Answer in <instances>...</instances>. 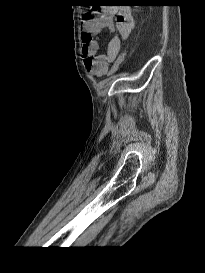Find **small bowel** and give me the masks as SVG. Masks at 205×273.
I'll list each match as a JSON object with an SVG mask.
<instances>
[{
    "instance_id": "1",
    "label": "small bowel",
    "mask_w": 205,
    "mask_h": 273,
    "mask_svg": "<svg viewBox=\"0 0 205 273\" xmlns=\"http://www.w3.org/2000/svg\"><path fill=\"white\" fill-rule=\"evenodd\" d=\"M127 9L114 6H105L96 13L86 14L81 23V40L84 65L86 70L95 76L101 77L108 73L110 63H113L121 49L122 42L126 41L135 22ZM103 29L116 30L107 42L105 51L98 54L97 36Z\"/></svg>"
}]
</instances>
